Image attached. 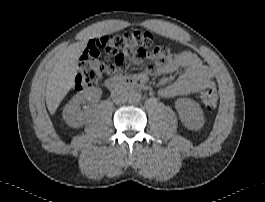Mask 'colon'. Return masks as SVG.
Listing matches in <instances>:
<instances>
[{"mask_svg":"<svg viewBox=\"0 0 265 202\" xmlns=\"http://www.w3.org/2000/svg\"><path fill=\"white\" fill-rule=\"evenodd\" d=\"M164 49L157 45L147 31H130L103 36L78 64L74 89L80 91L95 86L107 74L123 73L131 60L149 61L160 57ZM200 100L208 110H214L219 101L215 86L204 88Z\"/></svg>","mask_w":265,"mask_h":202,"instance_id":"5ec220e1","label":"colon"}]
</instances>
